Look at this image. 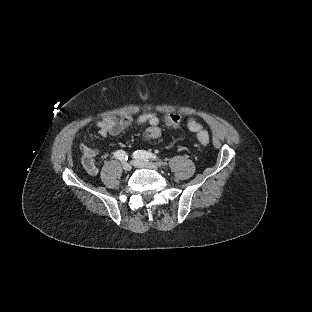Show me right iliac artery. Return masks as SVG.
<instances>
[{
	"mask_svg": "<svg viewBox=\"0 0 312 312\" xmlns=\"http://www.w3.org/2000/svg\"><path fill=\"white\" fill-rule=\"evenodd\" d=\"M114 156L119 159V160H128V155L125 151L123 150H118L114 153Z\"/></svg>",
	"mask_w": 312,
	"mask_h": 312,
	"instance_id": "1",
	"label": "right iliac artery"
}]
</instances>
